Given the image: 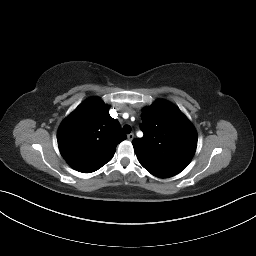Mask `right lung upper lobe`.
I'll return each instance as SVG.
<instances>
[{"label":"right lung upper lobe","mask_w":256,"mask_h":256,"mask_svg":"<svg viewBox=\"0 0 256 256\" xmlns=\"http://www.w3.org/2000/svg\"><path fill=\"white\" fill-rule=\"evenodd\" d=\"M127 136L109 106L97 97L86 100L60 125L57 141L61 155L75 170L91 173L114 156L116 146Z\"/></svg>","instance_id":"right-lung-upper-lobe-1"}]
</instances>
